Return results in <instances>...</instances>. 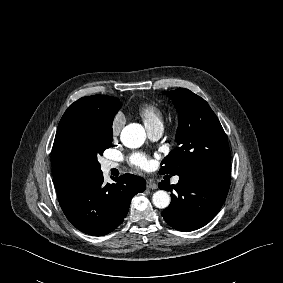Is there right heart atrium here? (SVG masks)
Wrapping results in <instances>:
<instances>
[{
    "label": "right heart atrium",
    "instance_id": "d8ad5b80",
    "mask_svg": "<svg viewBox=\"0 0 283 283\" xmlns=\"http://www.w3.org/2000/svg\"><path fill=\"white\" fill-rule=\"evenodd\" d=\"M125 122H126V119L123 114L118 113L115 115L111 123V132L113 136L119 135Z\"/></svg>",
    "mask_w": 283,
    "mask_h": 283
}]
</instances>
